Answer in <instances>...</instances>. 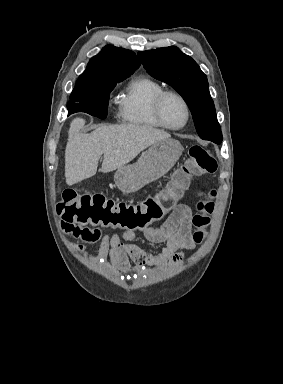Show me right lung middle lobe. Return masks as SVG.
<instances>
[{"mask_svg":"<svg viewBox=\"0 0 283 384\" xmlns=\"http://www.w3.org/2000/svg\"><path fill=\"white\" fill-rule=\"evenodd\" d=\"M116 83H107L81 89H74L67 103L68 115L75 112H86L104 119L107 117L109 93Z\"/></svg>","mask_w":283,"mask_h":384,"instance_id":"right-lung-middle-lobe-1","label":"right lung middle lobe"}]
</instances>
